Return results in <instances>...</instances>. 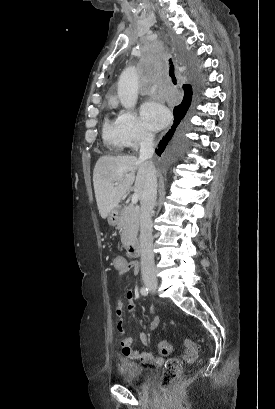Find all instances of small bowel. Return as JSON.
Segmentation results:
<instances>
[{
	"instance_id": "c3829d8e",
	"label": "small bowel",
	"mask_w": 275,
	"mask_h": 409,
	"mask_svg": "<svg viewBox=\"0 0 275 409\" xmlns=\"http://www.w3.org/2000/svg\"><path fill=\"white\" fill-rule=\"evenodd\" d=\"M123 259V273H126L128 271H132L134 273H137L139 271V265L137 262L135 261H128L124 258ZM122 273V274H123ZM126 297L128 299H133L135 297V292L133 289H128L126 292ZM150 311L153 310V307L150 306L149 307ZM128 310L130 313L134 314L136 309L135 306L133 304H130L128 306ZM125 309H124V303L123 300L121 298H118L116 301V305H115V313L117 317H122L123 313H124ZM160 322V319L158 316H153L149 323H148V328L151 330H154L158 327ZM116 326L120 327V330H122V326H123V321L122 320H117L116 321ZM139 340L142 344H146L147 342V336L145 333H141L139 336ZM134 338L133 337H126L125 339L121 340V347L122 350L124 352V354L127 356L128 360H137L138 358L140 359V361L142 363L145 364H151L154 366H161L163 363L162 358L160 357H154L152 356V354L148 353V352H138L136 350L133 349V345H134Z\"/></svg>"
}]
</instances>
